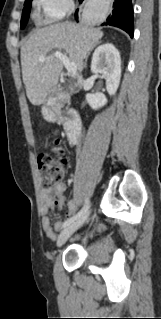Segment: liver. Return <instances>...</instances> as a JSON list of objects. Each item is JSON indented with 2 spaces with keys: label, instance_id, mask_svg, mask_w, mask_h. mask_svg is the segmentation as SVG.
<instances>
[{
  "label": "liver",
  "instance_id": "liver-1",
  "mask_svg": "<svg viewBox=\"0 0 161 319\" xmlns=\"http://www.w3.org/2000/svg\"><path fill=\"white\" fill-rule=\"evenodd\" d=\"M103 37L97 28L69 23H57L35 31L21 47V65L26 94L33 105L45 103L50 91L57 86L63 63L56 57L39 61L54 49L64 50L78 69L83 59Z\"/></svg>",
  "mask_w": 161,
  "mask_h": 319
}]
</instances>
